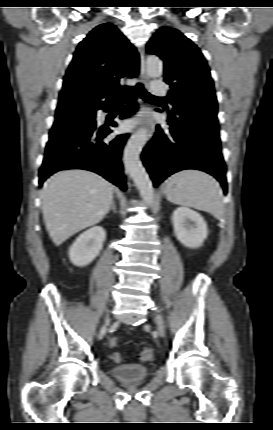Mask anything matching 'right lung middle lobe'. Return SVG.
<instances>
[{"mask_svg": "<svg viewBox=\"0 0 273 430\" xmlns=\"http://www.w3.org/2000/svg\"><path fill=\"white\" fill-rule=\"evenodd\" d=\"M49 139L90 129L95 125L94 107L81 100H72L57 107Z\"/></svg>", "mask_w": 273, "mask_h": 430, "instance_id": "1", "label": "right lung middle lobe"}]
</instances>
